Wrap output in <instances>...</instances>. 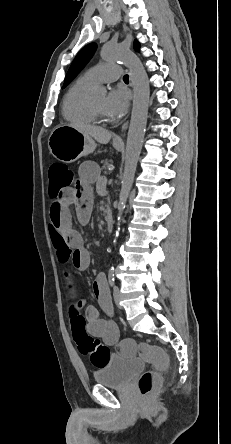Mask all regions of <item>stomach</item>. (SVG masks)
<instances>
[{"label": "stomach", "mask_w": 231, "mask_h": 444, "mask_svg": "<svg viewBox=\"0 0 231 444\" xmlns=\"http://www.w3.org/2000/svg\"><path fill=\"white\" fill-rule=\"evenodd\" d=\"M48 146L56 159L71 163L81 156L92 153L97 145L91 137L77 129L68 125H60L52 131ZM113 146L118 151L123 148L122 144L114 143Z\"/></svg>", "instance_id": "obj_1"}]
</instances>
